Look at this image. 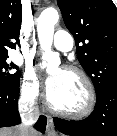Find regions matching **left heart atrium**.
Here are the masks:
<instances>
[{
	"instance_id": "left-heart-atrium-1",
	"label": "left heart atrium",
	"mask_w": 117,
	"mask_h": 136,
	"mask_svg": "<svg viewBox=\"0 0 117 136\" xmlns=\"http://www.w3.org/2000/svg\"><path fill=\"white\" fill-rule=\"evenodd\" d=\"M62 75H63V70H59L56 73L51 74L47 78L46 84H47L48 93L54 90L58 86V84L61 81Z\"/></svg>"
}]
</instances>
